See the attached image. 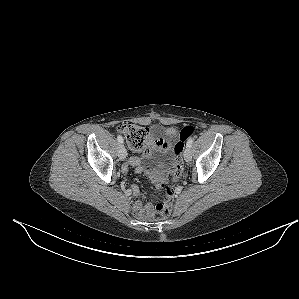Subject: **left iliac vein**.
I'll list each match as a JSON object with an SVG mask.
<instances>
[{
    "label": "left iliac vein",
    "instance_id": "4c4485c4",
    "mask_svg": "<svg viewBox=\"0 0 299 299\" xmlns=\"http://www.w3.org/2000/svg\"><path fill=\"white\" fill-rule=\"evenodd\" d=\"M191 150L189 147H186L185 151H184V159L186 162H190L191 161Z\"/></svg>",
    "mask_w": 299,
    "mask_h": 299
}]
</instances>
